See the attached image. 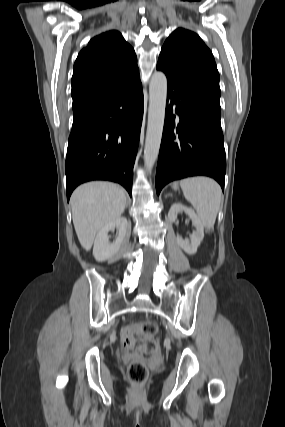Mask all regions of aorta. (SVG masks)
Listing matches in <instances>:
<instances>
[{
  "mask_svg": "<svg viewBox=\"0 0 285 427\" xmlns=\"http://www.w3.org/2000/svg\"><path fill=\"white\" fill-rule=\"evenodd\" d=\"M167 99V78L155 71L149 84L148 124L144 147V164L147 170L154 166L160 149Z\"/></svg>",
  "mask_w": 285,
  "mask_h": 427,
  "instance_id": "obj_1",
  "label": "aorta"
}]
</instances>
